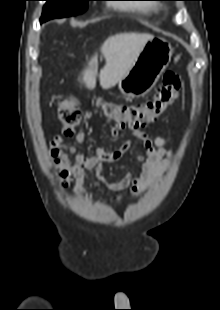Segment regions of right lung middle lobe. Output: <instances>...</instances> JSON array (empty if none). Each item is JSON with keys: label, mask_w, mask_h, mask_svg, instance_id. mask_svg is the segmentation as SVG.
Segmentation results:
<instances>
[{"label": "right lung middle lobe", "mask_w": 220, "mask_h": 310, "mask_svg": "<svg viewBox=\"0 0 220 310\" xmlns=\"http://www.w3.org/2000/svg\"><path fill=\"white\" fill-rule=\"evenodd\" d=\"M41 22L83 13L88 1L92 0H46Z\"/></svg>", "instance_id": "dd1d6c3e"}]
</instances>
